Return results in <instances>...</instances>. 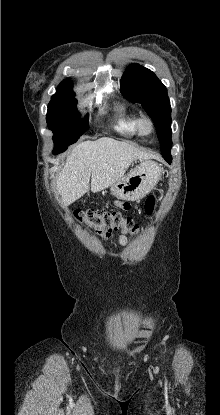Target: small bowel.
Segmentation results:
<instances>
[{"instance_id":"small-bowel-1","label":"small bowel","mask_w":220,"mask_h":415,"mask_svg":"<svg viewBox=\"0 0 220 415\" xmlns=\"http://www.w3.org/2000/svg\"><path fill=\"white\" fill-rule=\"evenodd\" d=\"M101 235L104 236L106 239H111L112 238V235L111 234H101ZM118 240H119V243L121 245L126 244V237L124 235H120L118 237Z\"/></svg>"}]
</instances>
